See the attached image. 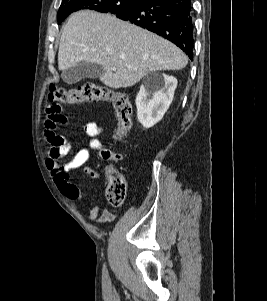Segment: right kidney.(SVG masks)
<instances>
[{"label": "right kidney", "mask_w": 267, "mask_h": 301, "mask_svg": "<svg viewBox=\"0 0 267 301\" xmlns=\"http://www.w3.org/2000/svg\"><path fill=\"white\" fill-rule=\"evenodd\" d=\"M176 87L177 79L165 74L158 82L141 86L136 106L137 118L144 128H151L162 119L172 103Z\"/></svg>", "instance_id": "obj_1"}]
</instances>
